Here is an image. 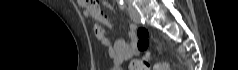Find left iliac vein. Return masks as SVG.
<instances>
[{"instance_id": "4c4485c4", "label": "left iliac vein", "mask_w": 238, "mask_h": 70, "mask_svg": "<svg viewBox=\"0 0 238 70\" xmlns=\"http://www.w3.org/2000/svg\"><path fill=\"white\" fill-rule=\"evenodd\" d=\"M129 13H130L131 19L135 23H139L140 22V15H139L138 11L133 6H131V5H129Z\"/></svg>"}]
</instances>
